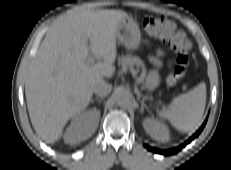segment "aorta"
I'll return each mask as SVG.
<instances>
[{
    "mask_svg": "<svg viewBox=\"0 0 231 170\" xmlns=\"http://www.w3.org/2000/svg\"><path fill=\"white\" fill-rule=\"evenodd\" d=\"M117 104L121 107H130L132 105V98L126 93H121L117 96Z\"/></svg>",
    "mask_w": 231,
    "mask_h": 170,
    "instance_id": "762f6f07",
    "label": "aorta"
}]
</instances>
